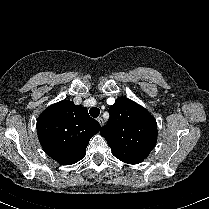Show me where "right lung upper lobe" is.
<instances>
[{
  "label": "right lung upper lobe",
  "mask_w": 209,
  "mask_h": 209,
  "mask_svg": "<svg viewBox=\"0 0 209 209\" xmlns=\"http://www.w3.org/2000/svg\"><path fill=\"white\" fill-rule=\"evenodd\" d=\"M100 129L86 108L67 100L49 106L37 119V134L44 151L63 165L84 158L90 138Z\"/></svg>",
  "instance_id": "cb5924a9"
}]
</instances>
